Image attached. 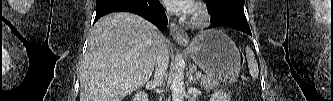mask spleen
<instances>
[{"label": "spleen", "instance_id": "spleen-1", "mask_svg": "<svg viewBox=\"0 0 333 101\" xmlns=\"http://www.w3.org/2000/svg\"><path fill=\"white\" fill-rule=\"evenodd\" d=\"M246 57L248 61V68H249V73L252 76V78L257 79L259 76V69H258V64L255 59V55L253 51L250 49V47H246Z\"/></svg>", "mask_w": 333, "mask_h": 101}]
</instances>
